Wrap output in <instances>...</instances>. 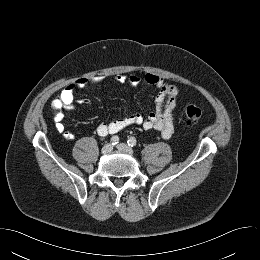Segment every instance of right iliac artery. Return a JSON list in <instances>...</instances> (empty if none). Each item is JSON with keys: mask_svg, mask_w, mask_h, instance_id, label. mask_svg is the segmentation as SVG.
I'll return each instance as SVG.
<instances>
[{"mask_svg": "<svg viewBox=\"0 0 260 260\" xmlns=\"http://www.w3.org/2000/svg\"><path fill=\"white\" fill-rule=\"evenodd\" d=\"M111 143H112V145L118 144L119 143V137L118 136H113L111 138Z\"/></svg>", "mask_w": 260, "mask_h": 260, "instance_id": "right-iliac-artery-1", "label": "right iliac artery"}]
</instances>
